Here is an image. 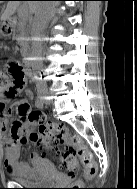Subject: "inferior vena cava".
Here are the masks:
<instances>
[{
  "label": "inferior vena cava",
  "mask_w": 137,
  "mask_h": 189,
  "mask_svg": "<svg viewBox=\"0 0 137 189\" xmlns=\"http://www.w3.org/2000/svg\"><path fill=\"white\" fill-rule=\"evenodd\" d=\"M43 5L40 7L36 13L31 26V36H32V54L35 58V83H37V88H48L46 85L47 77H45V67L44 62H42V43L39 39L41 32L43 31L44 25L50 14L51 7L53 3L51 1L42 2Z\"/></svg>",
  "instance_id": "1"
}]
</instances>
